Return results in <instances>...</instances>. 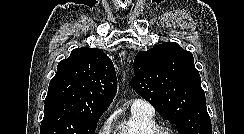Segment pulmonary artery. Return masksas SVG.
Here are the masks:
<instances>
[{
	"mask_svg": "<svg viewBox=\"0 0 244 134\" xmlns=\"http://www.w3.org/2000/svg\"><path fill=\"white\" fill-rule=\"evenodd\" d=\"M131 109L152 115L154 114V108L143 99H135L132 103Z\"/></svg>",
	"mask_w": 244,
	"mask_h": 134,
	"instance_id": "obj_1",
	"label": "pulmonary artery"
}]
</instances>
